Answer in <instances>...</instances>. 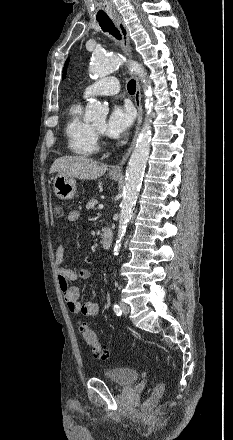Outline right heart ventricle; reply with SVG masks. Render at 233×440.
Segmentation results:
<instances>
[{
	"label": "right heart ventricle",
	"instance_id": "right-heart-ventricle-1",
	"mask_svg": "<svg viewBox=\"0 0 233 440\" xmlns=\"http://www.w3.org/2000/svg\"><path fill=\"white\" fill-rule=\"evenodd\" d=\"M65 135L69 150L76 156L91 157L99 150L98 138L92 125L83 119L80 103H74L68 109Z\"/></svg>",
	"mask_w": 233,
	"mask_h": 440
}]
</instances>
